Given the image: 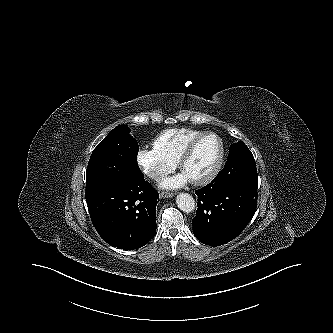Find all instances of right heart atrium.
<instances>
[{
	"label": "right heart atrium",
	"mask_w": 333,
	"mask_h": 333,
	"mask_svg": "<svg viewBox=\"0 0 333 333\" xmlns=\"http://www.w3.org/2000/svg\"><path fill=\"white\" fill-rule=\"evenodd\" d=\"M137 163L143 173L152 180L159 181L176 167V162L160 154L155 149L141 148Z\"/></svg>",
	"instance_id": "d8ad5b80"
}]
</instances>
